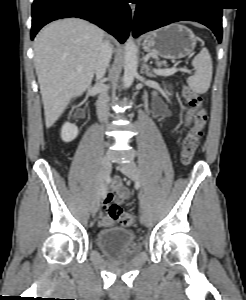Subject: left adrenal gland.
I'll use <instances>...</instances> for the list:
<instances>
[{
  "label": "left adrenal gland",
  "instance_id": "obj_1",
  "mask_svg": "<svg viewBox=\"0 0 246 300\" xmlns=\"http://www.w3.org/2000/svg\"><path fill=\"white\" fill-rule=\"evenodd\" d=\"M143 69L145 70V74L148 77H155V75L152 72H150L149 66L146 64L145 60H144V64H143Z\"/></svg>",
  "mask_w": 246,
  "mask_h": 300
}]
</instances>
